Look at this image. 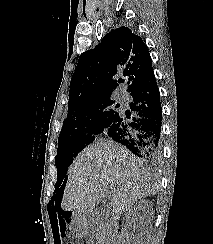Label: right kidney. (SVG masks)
Returning a JSON list of instances; mask_svg holds the SVG:
<instances>
[{"instance_id":"1","label":"right kidney","mask_w":213,"mask_h":244,"mask_svg":"<svg viewBox=\"0 0 213 244\" xmlns=\"http://www.w3.org/2000/svg\"><path fill=\"white\" fill-rule=\"evenodd\" d=\"M149 207H151V204L148 201L145 199L140 200L134 205L133 209L129 211L128 218L137 215L140 210Z\"/></svg>"}]
</instances>
